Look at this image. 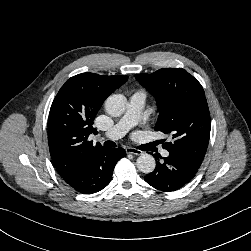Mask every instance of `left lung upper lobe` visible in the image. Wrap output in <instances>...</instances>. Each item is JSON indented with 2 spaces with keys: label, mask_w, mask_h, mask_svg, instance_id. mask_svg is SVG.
<instances>
[{
  "label": "left lung upper lobe",
  "mask_w": 251,
  "mask_h": 251,
  "mask_svg": "<svg viewBox=\"0 0 251 251\" xmlns=\"http://www.w3.org/2000/svg\"><path fill=\"white\" fill-rule=\"evenodd\" d=\"M135 78L155 98L159 110L156 131L170 136L163 148L202 163L210 138V113L204 90L182 68H164ZM165 141V140H164Z\"/></svg>",
  "instance_id": "5c2ea615"
}]
</instances>
